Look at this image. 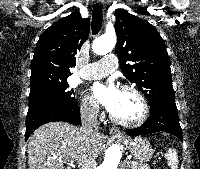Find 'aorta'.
Masks as SVG:
<instances>
[{"instance_id":"obj_1","label":"aorta","mask_w":200,"mask_h":169,"mask_svg":"<svg viewBox=\"0 0 200 169\" xmlns=\"http://www.w3.org/2000/svg\"><path fill=\"white\" fill-rule=\"evenodd\" d=\"M115 45V33H105L93 42L92 49L94 53L104 55L110 52ZM121 156L122 153L120 147L117 144H113L106 150L104 160L98 169H117Z\"/></svg>"}]
</instances>
